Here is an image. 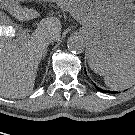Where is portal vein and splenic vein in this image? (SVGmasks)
I'll use <instances>...</instances> for the list:
<instances>
[{
    "label": "portal vein and splenic vein",
    "mask_w": 135,
    "mask_h": 135,
    "mask_svg": "<svg viewBox=\"0 0 135 135\" xmlns=\"http://www.w3.org/2000/svg\"><path fill=\"white\" fill-rule=\"evenodd\" d=\"M27 34H28V30L23 29L20 31L19 37L26 38L28 36ZM0 35H6V36L13 37L15 35V32L11 27L7 26V27H3L0 29Z\"/></svg>",
    "instance_id": "obj_1"
}]
</instances>
